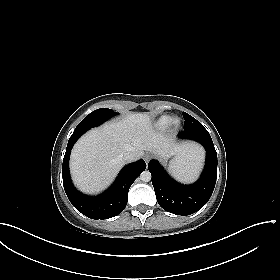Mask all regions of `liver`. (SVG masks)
Segmentation results:
<instances>
[{"mask_svg":"<svg viewBox=\"0 0 280 280\" xmlns=\"http://www.w3.org/2000/svg\"><path fill=\"white\" fill-rule=\"evenodd\" d=\"M170 139L154 129L146 113L129 114L120 121L106 123L88 131L74 145L70 170L75 185L85 193L105 189L124 165L122 156L133 153L136 159L144 151L160 157H191L201 153L194 144L171 146Z\"/></svg>","mask_w":280,"mask_h":280,"instance_id":"liver-1","label":"liver"}]
</instances>
